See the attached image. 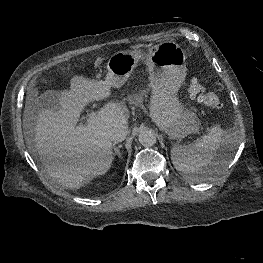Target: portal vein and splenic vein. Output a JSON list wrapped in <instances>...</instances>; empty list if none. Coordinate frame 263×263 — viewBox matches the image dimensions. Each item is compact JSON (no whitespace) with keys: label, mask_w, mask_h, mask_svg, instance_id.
I'll list each match as a JSON object with an SVG mask.
<instances>
[{"label":"portal vein and splenic vein","mask_w":263,"mask_h":263,"mask_svg":"<svg viewBox=\"0 0 263 263\" xmlns=\"http://www.w3.org/2000/svg\"><path fill=\"white\" fill-rule=\"evenodd\" d=\"M95 117V112L92 111L89 115H88V119H87V122L90 123L93 118ZM80 131H85L86 130V125H79L77 127Z\"/></svg>","instance_id":"obj_1"}]
</instances>
